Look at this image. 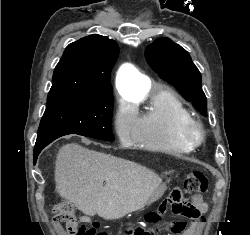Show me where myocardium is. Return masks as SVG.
<instances>
[{
    "instance_id": "obj_1",
    "label": "myocardium",
    "mask_w": 250,
    "mask_h": 235,
    "mask_svg": "<svg viewBox=\"0 0 250 235\" xmlns=\"http://www.w3.org/2000/svg\"><path fill=\"white\" fill-rule=\"evenodd\" d=\"M180 139L190 148L201 145L205 139V131L199 120L190 117L184 120L179 127Z\"/></svg>"
}]
</instances>
